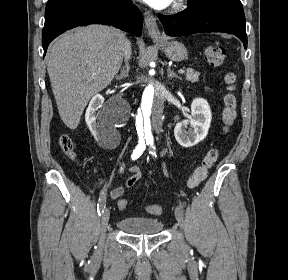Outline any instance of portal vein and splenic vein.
Instances as JSON below:
<instances>
[{"mask_svg": "<svg viewBox=\"0 0 288 280\" xmlns=\"http://www.w3.org/2000/svg\"><path fill=\"white\" fill-rule=\"evenodd\" d=\"M184 72H185L184 69H180V70L178 71L179 74H183Z\"/></svg>", "mask_w": 288, "mask_h": 280, "instance_id": "portal-vein-and-splenic-vein-1", "label": "portal vein and splenic vein"}]
</instances>
